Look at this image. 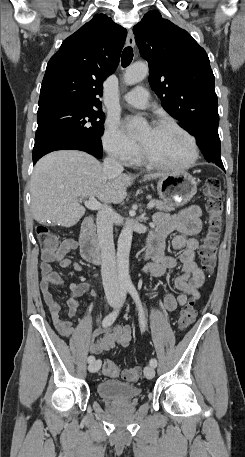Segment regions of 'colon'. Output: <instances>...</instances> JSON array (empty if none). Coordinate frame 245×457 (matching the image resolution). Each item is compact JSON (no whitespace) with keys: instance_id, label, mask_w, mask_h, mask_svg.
I'll return each instance as SVG.
<instances>
[{"instance_id":"1","label":"colon","mask_w":245,"mask_h":457,"mask_svg":"<svg viewBox=\"0 0 245 457\" xmlns=\"http://www.w3.org/2000/svg\"><path fill=\"white\" fill-rule=\"evenodd\" d=\"M204 196L206 197V210L208 214L206 232L203 243L199 249V255L204 269L212 272L216 264V252L219 242V234L222 222L223 203L221 196V183L219 179L210 177L205 182ZM37 237L43 254L53 255L60 247V237L54 229L47 226L37 228ZM195 302L190 301L185 305L178 318V327L181 330L189 327L195 320ZM103 374L110 377L119 375L118 366L110 359H106L102 365ZM142 374L141 368L133 366L123 371V379L127 382H136Z\"/></svg>"}]
</instances>
